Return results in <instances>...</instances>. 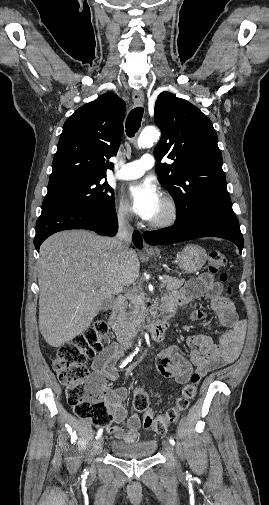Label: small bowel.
<instances>
[{"label": "small bowel", "mask_w": 269, "mask_h": 505, "mask_svg": "<svg viewBox=\"0 0 269 505\" xmlns=\"http://www.w3.org/2000/svg\"><path fill=\"white\" fill-rule=\"evenodd\" d=\"M201 297L209 301L210 309L227 331L221 335L219 343H215L210 336L205 334L189 336L187 339L190 349L188 358L183 356L176 347L167 348L158 354L157 372L163 377L175 380L178 384L187 383L194 373L205 376L232 363L242 349L246 322L238 317L233 303L221 295V285L214 282L212 275L201 274L189 281L181 290L171 293L164 301L174 309L178 305H187ZM187 315L193 321L206 317V313L200 309L187 312ZM120 357V347L117 344H111L94 360L92 368L102 380V397L109 406L111 416L116 423L110 429L111 433L117 439L134 443L139 440L141 422L136 414L127 417L123 402L128 397V390L124 387L114 390L105 387L106 380L118 378L116 364Z\"/></svg>", "instance_id": "obj_1"}]
</instances>
